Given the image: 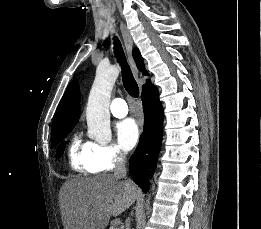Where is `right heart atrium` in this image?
Returning a JSON list of instances; mask_svg holds the SVG:
<instances>
[{
  "mask_svg": "<svg viewBox=\"0 0 261 229\" xmlns=\"http://www.w3.org/2000/svg\"><path fill=\"white\" fill-rule=\"evenodd\" d=\"M126 163V153L114 142L94 143L91 164L95 172H110Z\"/></svg>",
  "mask_w": 261,
  "mask_h": 229,
  "instance_id": "right-heart-atrium-1",
  "label": "right heart atrium"
}]
</instances>
